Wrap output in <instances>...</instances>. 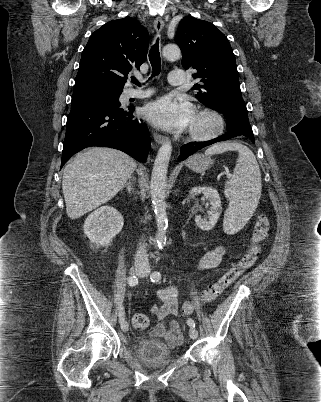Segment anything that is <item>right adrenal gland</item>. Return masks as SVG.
<instances>
[{
  "instance_id": "right-adrenal-gland-1",
  "label": "right adrenal gland",
  "mask_w": 321,
  "mask_h": 402,
  "mask_svg": "<svg viewBox=\"0 0 321 402\" xmlns=\"http://www.w3.org/2000/svg\"><path fill=\"white\" fill-rule=\"evenodd\" d=\"M135 180H136L135 178L130 177L128 182L121 188V190H123L124 188H127L128 192L132 193L133 192V182Z\"/></svg>"
}]
</instances>
